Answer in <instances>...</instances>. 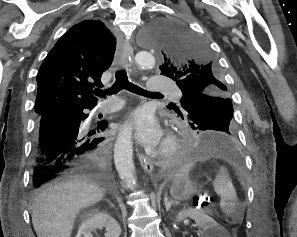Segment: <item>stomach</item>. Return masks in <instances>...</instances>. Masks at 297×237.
I'll use <instances>...</instances> for the list:
<instances>
[{
  "label": "stomach",
  "mask_w": 297,
  "mask_h": 237,
  "mask_svg": "<svg viewBox=\"0 0 297 237\" xmlns=\"http://www.w3.org/2000/svg\"><path fill=\"white\" fill-rule=\"evenodd\" d=\"M197 193L198 186L188 176H176L170 186V195L175 202L189 200Z\"/></svg>",
  "instance_id": "1"
}]
</instances>
